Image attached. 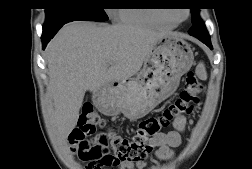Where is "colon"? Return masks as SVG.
I'll list each match as a JSON object with an SVG mask.
<instances>
[{"label": "colon", "mask_w": 252, "mask_h": 169, "mask_svg": "<svg viewBox=\"0 0 252 169\" xmlns=\"http://www.w3.org/2000/svg\"><path fill=\"white\" fill-rule=\"evenodd\" d=\"M202 90L203 86L196 74L187 72L178 98L160 116L142 120L131 137L115 129L97 133L98 127L105 126V120L91 105L86 104L82 108L77 128L70 134L71 148L85 169H105L120 162L143 161L152 149L150 140L159 135L175 117L190 114ZM89 136L92 139H88Z\"/></svg>", "instance_id": "obj_1"}]
</instances>
